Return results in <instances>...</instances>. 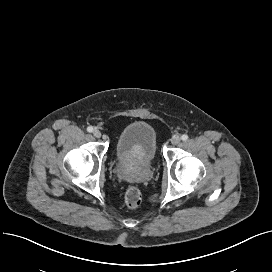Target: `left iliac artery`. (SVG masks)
Instances as JSON below:
<instances>
[{"mask_svg":"<svg viewBox=\"0 0 272 272\" xmlns=\"http://www.w3.org/2000/svg\"><path fill=\"white\" fill-rule=\"evenodd\" d=\"M181 139H182L183 141H186V140L188 139V135L183 134V135L181 136Z\"/></svg>","mask_w":272,"mask_h":272,"instance_id":"obj_1","label":"left iliac artery"}]
</instances>
